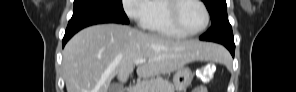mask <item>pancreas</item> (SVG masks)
Returning a JSON list of instances; mask_svg holds the SVG:
<instances>
[{"instance_id":"1","label":"pancreas","mask_w":296,"mask_h":92,"mask_svg":"<svg viewBox=\"0 0 296 92\" xmlns=\"http://www.w3.org/2000/svg\"><path fill=\"white\" fill-rule=\"evenodd\" d=\"M133 92H174L173 85L163 77L157 76L138 81Z\"/></svg>"}]
</instances>
